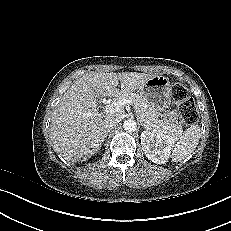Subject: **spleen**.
<instances>
[{"label":"spleen","instance_id":"1","mask_svg":"<svg viewBox=\"0 0 231 231\" xmlns=\"http://www.w3.org/2000/svg\"><path fill=\"white\" fill-rule=\"evenodd\" d=\"M200 127L192 124L187 128L179 141L172 147L171 158L174 162H180L189 156L199 144Z\"/></svg>","mask_w":231,"mask_h":231}]
</instances>
